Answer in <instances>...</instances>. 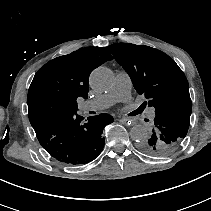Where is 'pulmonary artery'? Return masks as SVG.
I'll use <instances>...</instances> for the list:
<instances>
[{
    "label": "pulmonary artery",
    "mask_w": 211,
    "mask_h": 211,
    "mask_svg": "<svg viewBox=\"0 0 211 211\" xmlns=\"http://www.w3.org/2000/svg\"><path fill=\"white\" fill-rule=\"evenodd\" d=\"M131 87L132 81L129 74L121 71L117 73L114 85L109 92L98 96L92 101L80 104L79 108L83 112L101 111L109 108L118 100H121L124 104H129L132 101ZM144 117L148 121H153L157 117V112L153 108H148L144 112Z\"/></svg>",
    "instance_id": "1"
}]
</instances>
